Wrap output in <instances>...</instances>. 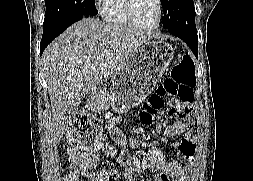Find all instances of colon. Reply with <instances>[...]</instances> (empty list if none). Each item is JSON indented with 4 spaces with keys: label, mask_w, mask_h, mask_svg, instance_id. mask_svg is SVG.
<instances>
[{
    "label": "colon",
    "mask_w": 253,
    "mask_h": 181,
    "mask_svg": "<svg viewBox=\"0 0 253 181\" xmlns=\"http://www.w3.org/2000/svg\"><path fill=\"white\" fill-rule=\"evenodd\" d=\"M173 55H180L179 63L173 68L170 76L166 77L145 103L140 112V118L145 124H152L166 100H173L183 112H187L193 102V89L196 85L194 64L184 50H173ZM67 140L70 148H82L88 151L100 150L103 147L101 125L98 119L86 111L76 112L67 129ZM123 161L129 160L125 153L120 155ZM160 159L156 145L148 151L137 152L131 157L133 164L139 168ZM68 181H73L70 179Z\"/></svg>",
    "instance_id": "obj_1"
}]
</instances>
